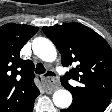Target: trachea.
Segmentation results:
<instances>
[{
  "instance_id": "1",
  "label": "trachea",
  "mask_w": 112,
  "mask_h": 112,
  "mask_svg": "<svg viewBox=\"0 0 112 112\" xmlns=\"http://www.w3.org/2000/svg\"><path fill=\"white\" fill-rule=\"evenodd\" d=\"M35 72H36V74H43V73H45V67L43 66L42 63H38L36 65Z\"/></svg>"
}]
</instances>
